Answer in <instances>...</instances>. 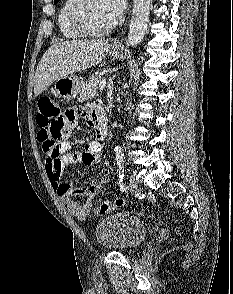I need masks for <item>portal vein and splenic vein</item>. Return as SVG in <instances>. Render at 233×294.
I'll list each match as a JSON object with an SVG mask.
<instances>
[{
	"mask_svg": "<svg viewBox=\"0 0 233 294\" xmlns=\"http://www.w3.org/2000/svg\"><path fill=\"white\" fill-rule=\"evenodd\" d=\"M105 85H106V79H102L99 84L100 90H103Z\"/></svg>",
	"mask_w": 233,
	"mask_h": 294,
	"instance_id": "18ae733b",
	"label": "portal vein and splenic vein"
}]
</instances>
